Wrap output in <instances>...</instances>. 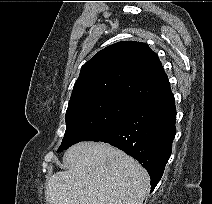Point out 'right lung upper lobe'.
I'll list each match as a JSON object with an SVG mask.
<instances>
[{
  "mask_svg": "<svg viewBox=\"0 0 212 204\" xmlns=\"http://www.w3.org/2000/svg\"><path fill=\"white\" fill-rule=\"evenodd\" d=\"M168 90V77L155 52L145 43L121 41L82 66L68 107L103 97L143 103Z\"/></svg>",
  "mask_w": 212,
  "mask_h": 204,
  "instance_id": "right-lung-upper-lobe-1",
  "label": "right lung upper lobe"
}]
</instances>
